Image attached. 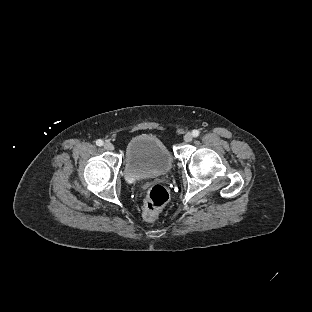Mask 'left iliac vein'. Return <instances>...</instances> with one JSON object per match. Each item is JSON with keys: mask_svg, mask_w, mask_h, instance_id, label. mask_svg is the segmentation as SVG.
<instances>
[{"mask_svg": "<svg viewBox=\"0 0 312 312\" xmlns=\"http://www.w3.org/2000/svg\"><path fill=\"white\" fill-rule=\"evenodd\" d=\"M192 139H193V135L191 133L188 132L184 135V141L190 142L192 141Z\"/></svg>", "mask_w": 312, "mask_h": 312, "instance_id": "4c4485c4", "label": "left iliac vein"}]
</instances>
